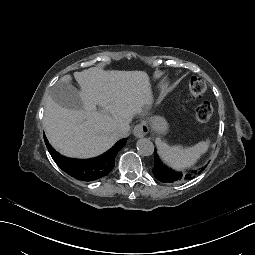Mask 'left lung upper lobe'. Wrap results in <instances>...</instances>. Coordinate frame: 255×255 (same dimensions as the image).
I'll return each instance as SVG.
<instances>
[{
	"instance_id": "1",
	"label": "left lung upper lobe",
	"mask_w": 255,
	"mask_h": 255,
	"mask_svg": "<svg viewBox=\"0 0 255 255\" xmlns=\"http://www.w3.org/2000/svg\"><path fill=\"white\" fill-rule=\"evenodd\" d=\"M154 157H158L157 154H156V152L154 153ZM161 163H162V162H161ZM166 168H168V167L166 166ZM204 168H205V167H204ZM204 168H202V170H203ZM172 171H173V170H172ZM173 172H174V171H173ZM199 172H200V171H199ZM194 173H196V172H194ZM156 179H157V178H156ZM186 179H189V178H186ZM157 180H158V179H157ZM179 181H181V180H179ZM179 181H178V182H179ZM160 182H162V181H160ZM162 183H163V182H162Z\"/></svg>"
}]
</instances>
